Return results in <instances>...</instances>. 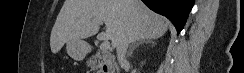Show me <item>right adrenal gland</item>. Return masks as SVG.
<instances>
[{"instance_id": "obj_1", "label": "right adrenal gland", "mask_w": 244, "mask_h": 73, "mask_svg": "<svg viewBox=\"0 0 244 73\" xmlns=\"http://www.w3.org/2000/svg\"><path fill=\"white\" fill-rule=\"evenodd\" d=\"M144 43H146V44H152V45L155 44V42L153 40H149V39L141 40V41H138L136 43H133L131 45L130 49H129L128 56H131L132 53H133V51H134V49L137 48V47H139V45H142Z\"/></svg>"}]
</instances>
